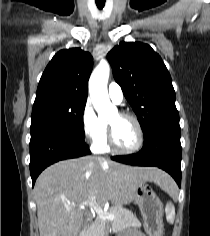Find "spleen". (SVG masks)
<instances>
[{"label":"spleen","instance_id":"obj_1","mask_svg":"<svg viewBox=\"0 0 210 236\" xmlns=\"http://www.w3.org/2000/svg\"><path fill=\"white\" fill-rule=\"evenodd\" d=\"M164 189L168 192V193H173L175 190V186L174 183L172 181V183H164ZM165 212H166V218L170 223H173L174 218H175V207L172 203H167L166 208H165Z\"/></svg>","mask_w":210,"mask_h":236}]
</instances>
